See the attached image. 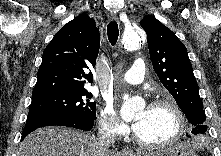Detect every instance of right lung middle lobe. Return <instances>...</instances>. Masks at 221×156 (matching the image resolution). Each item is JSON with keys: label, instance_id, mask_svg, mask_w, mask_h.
<instances>
[{"label": "right lung middle lobe", "instance_id": "1", "mask_svg": "<svg viewBox=\"0 0 221 156\" xmlns=\"http://www.w3.org/2000/svg\"><path fill=\"white\" fill-rule=\"evenodd\" d=\"M87 89L65 91L32 99L27 122L45 120H96V103Z\"/></svg>", "mask_w": 221, "mask_h": 156}]
</instances>
